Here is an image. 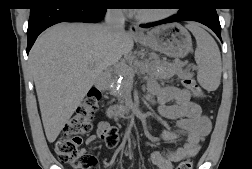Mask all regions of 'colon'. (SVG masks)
<instances>
[{
  "instance_id": "1",
  "label": "colon",
  "mask_w": 252,
  "mask_h": 169,
  "mask_svg": "<svg viewBox=\"0 0 252 169\" xmlns=\"http://www.w3.org/2000/svg\"><path fill=\"white\" fill-rule=\"evenodd\" d=\"M183 85L190 90L194 96L201 98L202 89L196 81L190 77H184ZM100 92L92 88L88 91L81 104L78 106L70 120L66 123L61 136L55 142L54 152L58 159L69 164L73 169H91L96 164L95 157L82 151V135L91 129L93 115L97 109ZM118 143V133L115 128L107 131L106 144L114 147ZM191 157L184 159L177 169H192Z\"/></svg>"
}]
</instances>
